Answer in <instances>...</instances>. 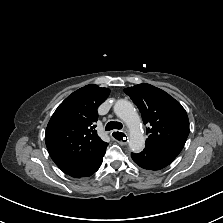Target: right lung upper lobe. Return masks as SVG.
Wrapping results in <instances>:
<instances>
[{
	"mask_svg": "<svg viewBox=\"0 0 223 223\" xmlns=\"http://www.w3.org/2000/svg\"><path fill=\"white\" fill-rule=\"evenodd\" d=\"M108 88L87 85L70 94L56 109L46 129L45 142L55 164L66 174L81 169L101 155L108 143L97 135V108Z\"/></svg>",
	"mask_w": 223,
	"mask_h": 223,
	"instance_id": "1",
	"label": "right lung upper lobe"
}]
</instances>
